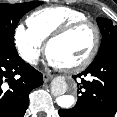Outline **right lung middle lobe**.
<instances>
[{"label": "right lung middle lobe", "instance_id": "right-lung-middle-lobe-1", "mask_svg": "<svg viewBox=\"0 0 117 117\" xmlns=\"http://www.w3.org/2000/svg\"><path fill=\"white\" fill-rule=\"evenodd\" d=\"M42 1H32L20 4L0 3V46L16 50L14 32L20 18L41 5Z\"/></svg>", "mask_w": 117, "mask_h": 117}]
</instances>
